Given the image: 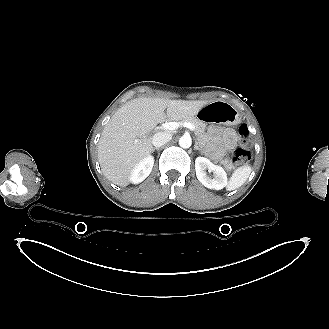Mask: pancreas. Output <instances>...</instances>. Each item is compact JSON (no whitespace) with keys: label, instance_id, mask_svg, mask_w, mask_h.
I'll list each match as a JSON object with an SVG mask.
<instances>
[{"label":"pancreas","instance_id":"1","mask_svg":"<svg viewBox=\"0 0 329 329\" xmlns=\"http://www.w3.org/2000/svg\"><path fill=\"white\" fill-rule=\"evenodd\" d=\"M182 122H189L195 126V131L197 134H204L206 129V124L196 118L183 119ZM221 163L226 167L227 170L234 168L232 162L228 159L222 160Z\"/></svg>","mask_w":329,"mask_h":329}]
</instances>
